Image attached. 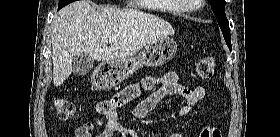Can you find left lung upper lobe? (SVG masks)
<instances>
[{
  "instance_id": "left-lung-upper-lobe-1",
  "label": "left lung upper lobe",
  "mask_w": 280,
  "mask_h": 137,
  "mask_svg": "<svg viewBox=\"0 0 280 137\" xmlns=\"http://www.w3.org/2000/svg\"><path fill=\"white\" fill-rule=\"evenodd\" d=\"M212 5V11L214 12L216 19L218 21L219 27L222 31L224 39L226 41L227 46L231 50V38H230V30L228 20L225 14V0H208Z\"/></svg>"
}]
</instances>
